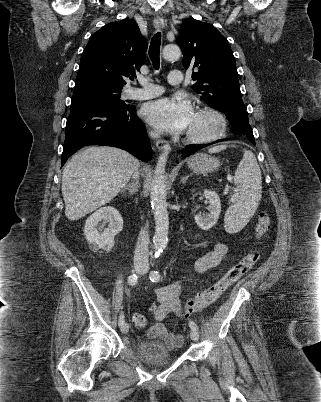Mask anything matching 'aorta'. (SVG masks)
<instances>
[{
  "label": "aorta",
  "instance_id": "aorta-1",
  "mask_svg": "<svg viewBox=\"0 0 321 402\" xmlns=\"http://www.w3.org/2000/svg\"><path fill=\"white\" fill-rule=\"evenodd\" d=\"M162 55L166 60H177L181 56V50L176 45H167L163 48ZM167 155V150H164L158 158L150 192L151 207L155 219L153 243L156 255H159L166 248L168 242L169 216L167 212L165 181Z\"/></svg>",
  "mask_w": 321,
  "mask_h": 402
}]
</instances>
